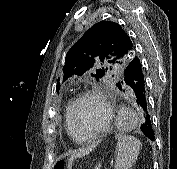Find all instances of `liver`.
<instances>
[{
  "mask_svg": "<svg viewBox=\"0 0 177 169\" xmlns=\"http://www.w3.org/2000/svg\"><path fill=\"white\" fill-rule=\"evenodd\" d=\"M82 154H83V152H78V153L73 154V155L71 156L70 160H69V166L72 165L73 160H74L75 158L80 157Z\"/></svg>",
  "mask_w": 177,
  "mask_h": 169,
  "instance_id": "liver-1",
  "label": "liver"
}]
</instances>
